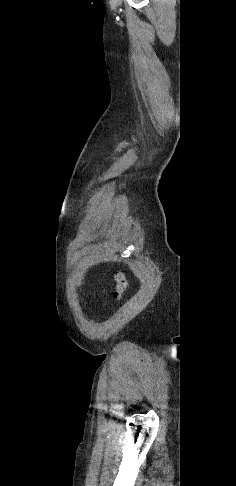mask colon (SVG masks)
I'll return each mask as SVG.
<instances>
[{
    "instance_id": "obj_1",
    "label": "colon",
    "mask_w": 236,
    "mask_h": 486,
    "mask_svg": "<svg viewBox=\"0 0 236 486\" xmlns=\"http://www.w3.org/2000/svg\"><path fill=\"white\" fill-rule=\"evenodd\" d=\"M115 281L116 287L113 293V297L115 300H120L127 287L125 274L122 271L118 270L115 274Z\"/></svg>"
}]
</instances>
